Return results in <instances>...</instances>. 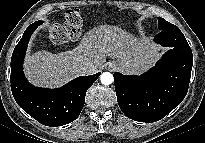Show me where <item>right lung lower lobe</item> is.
Returning <instances> with one entry per match:
<instances>
[{
    "mask_svg": "<svg viewBox=\"0 0 205 143\" xmlns=\"http://www.w3.org/2000/svg\"><path fill=\"white\" fill-rule=\"evenodd\" d=\"M42 24L32 23L16 45L11 58V90L17 104L30 116L46 126H62L81 113L88 88L101 73L78 77L58 89L38 88L26 80L23 59L31 34Z\"/></svg>",
    "mask_w": 205,
    "mask_h": 143,
    "instance_id": "1",
    "label": "right lung lower lobe"
}]
</instances>
